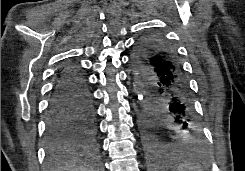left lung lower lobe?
<instances>
[{
  "instance_id": "obj_1",
  "label": "left lung lower lobe",
  "mask_w": 245,
  "mask_h": 171,
  "mask_svg": "<svg viewBox=\"0 0 245 171\" xmlns=\"http://www.w3.org/2000/svg\"><path fill=\"white\" fill-rule=\"evenodd\" d=\"M151 61L128 62L139 88L145 93V122L149 126L164 125L169 137L162 138L155 132L144 134L143 146L148 167H179L185 156L180 150L166 148L167 139L173 140L192 132L196 117L188 80L181 62L170 44L159 45L150 56ZM169 156V157H164Z\"/></svg>"
}]
</instances>
